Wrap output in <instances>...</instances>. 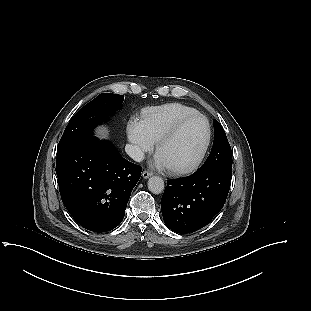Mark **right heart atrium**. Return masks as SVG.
Listing matches in <instances>:
<instances>
[{"mask_svg":"<svg viewBox=\"0 0 311 311\" xmlns=\"http://www.w3.org/2000/svg\"><path fill=\"white\" fill-rule=\"evenodd\" d=\"M128 141L132 145V154L139 158L153 149L154 143L146 134L141 121L131 118L126 126Z\"/></svg>","mask_w":311,"mask_h":311,"instance_id":"d8ad5b80","label":"right heart atrium"}]
</instances>
